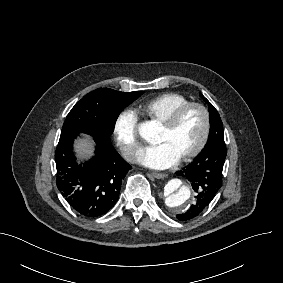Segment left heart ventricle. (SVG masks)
I'll list each match as a JSON object with an SVG mask.
<instances>
[{
  "instance_id": "left-heart-ventricle-1",
  "label": "left heart ventricle",
  "mask_w": 283,
  "mask_h": 283,
  "mask_svg": "<svg viewBox=\"0 0 283 283\" xmlns=\"http://www.w3.org/2000/svg\"><path fill=\"white\" fill-rule=\"evenodd\" d=\"M203 117L201 112L189 109L171 130H166L162 125L155 143H166L179 157L194 149L203 135Z\"/></svg>"
}]
</instances>
